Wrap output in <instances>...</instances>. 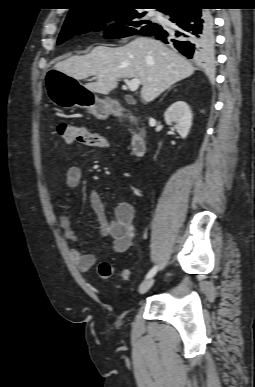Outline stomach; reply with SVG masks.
Masks as SVG:
<instances>
[{"mask_svg":"<svg viewBox=\"0 0 255 387\" xmlns=\"http://www.w3.org/2000/svg\"><path fill=\"white\" fill-rule=\"evenodd\" d=\"M49 99L63 108L78 106L87 109L98 119H105L111 111V101L100 99L97 95L77 83L63 70H44Z\"/></svg>","mask_w":255,"mask_h":387,"instance_id":"stomach-1","label":"stomach"}]
</instances>
